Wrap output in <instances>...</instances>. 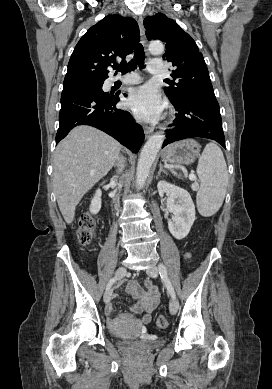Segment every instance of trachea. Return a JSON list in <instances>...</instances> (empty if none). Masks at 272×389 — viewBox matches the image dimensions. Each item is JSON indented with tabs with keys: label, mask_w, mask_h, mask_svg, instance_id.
Instances as JSON below:
<instances>
[{
	"label": "trachea",
	"mask_w": 272,
	"mask_h": 389,
	"mask_svg": "<svg viewBox=\"0 0 272 389\" xmlns=\"http://www.w3.org/2000/svg\"><path fill=\"white\" fill-rule=\"evenodd\" d=\"M144 59V48L142 44H138L134 49V59H132L127 64L115 66V69L122 74H126L133 71L137 66H139V68H144Z\"/></svg>",
	"instance_id": "1"
}]
</instances>
